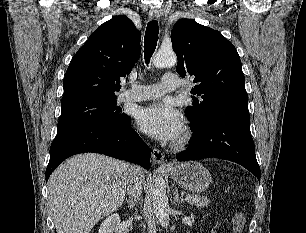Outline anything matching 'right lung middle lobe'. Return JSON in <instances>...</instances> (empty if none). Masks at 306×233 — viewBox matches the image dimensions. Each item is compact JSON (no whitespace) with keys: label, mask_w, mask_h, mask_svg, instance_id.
Returning <instances> with one entry per match:
<instances>
[{"label":"right lung middle lobe","mask_w":306,"mask_h":233,"mask_svg":"<svg viewBox=\"0 0 306 233\" xmlns=\"http://www.w3.org/2000/svg\"><path fill=\"white\" fill-rule=\"evenodd\" d=\"M61 109L57 133L93 122L119 125L129 117L124 113L120 114L121 110L116 106V98H82L62 103Z\"/></svg>","instance_id":"1"}]
</instances>
